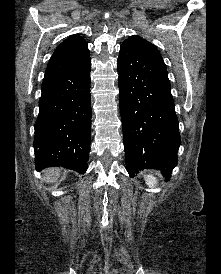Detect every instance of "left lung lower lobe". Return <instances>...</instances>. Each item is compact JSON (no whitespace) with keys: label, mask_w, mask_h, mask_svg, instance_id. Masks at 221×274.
<instances>
[{"label":"left lung lower lobe","mask_w":221,"mask_h":274,"mask_svg":"<svg viewBox=\"0 0 221 274\" xmlns=\"http://www.w3.org/2000/svg\"><path fill=\"white\" fill-rule=\"evenodd\" d=\"M117 68L126 169H158L168 180L181 141L166 65L123 43Z\"/></svg>","instance_id":"1"}]
</instances>
